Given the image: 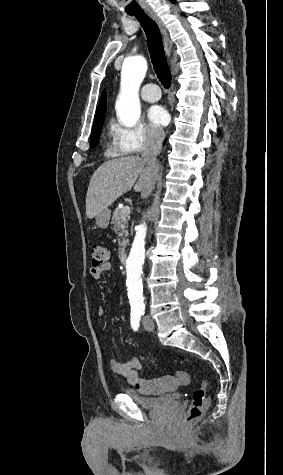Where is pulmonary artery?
Instances as JSON below:
<instances>
[{
  "mask_svg": "<svg viewBox=\"0 0 283 475\" xmlns=\"http://www.w3.org/2000/svg\"><path fill=\"white\" fill-rule=\"evenodd\" d=\"M122 90H139V89H122ZM143 96L142 99L147 102H156L159 100V96L161 93V90L159 87H157L156 84L150 83L146 85V87L143 88Z\"/></svg>",
  "mask_w": 283,
  "mask_h": 475,
  "instance_id": "1",
  "label": "pulmonary artery"
}]
</instances>
